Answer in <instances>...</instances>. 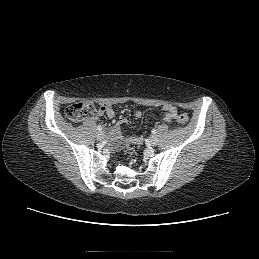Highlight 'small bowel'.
<instances>
[{
    "label": "small bowel",
    "mask_w": 259,
    "mask_h": 259,
    "mask_svg": "<svg viewBox=\"0 0 259 259\" xmlns=\"http://www.w3.org/2000/svg\"><path fill=\"white\" fill-rule=\"evenodd\" d=\"M163 110V118L165 121L170 122L174 119H176L177 116V108L169 103H166L162 106ZM99 114L103 115L105 114L108 118L112 119L115 117V111L109 107V106H102L99 109ZM134 116L136 118L142 117V111L137 110L134 113ZM113 134L116 137V144L124 143V144H141L144 139V135L140 136H125L123 134V130L120 125H117L113 129Z\"/></svg>",
    "instance_id": "small-bowel-1"
}]
</instances>
